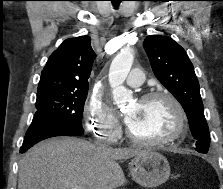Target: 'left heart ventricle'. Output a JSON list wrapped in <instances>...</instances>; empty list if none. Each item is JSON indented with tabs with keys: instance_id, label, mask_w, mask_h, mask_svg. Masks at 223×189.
Wrapping results in <instances>:
<instances>
[{
	"instance_id": "b2bd125f",
	"label": "left heart ventricle",
	"mask_w": 223,
	"mask_h": 189,
	"mask_svg": "<svg viewBox=\"0 0 223 189\" xmlns=\"http://www.w3.org/2000/svg\"><path fill=\"white\" fill-rule=\"evenodd\" d=\"M131 118L130 129L140 137L159 138L169 135L176 127V115L166 99L136 102L126 111Z\"/></svg>"
}]
</instances>
